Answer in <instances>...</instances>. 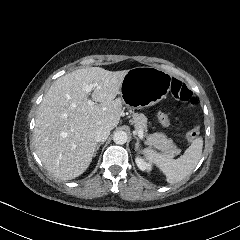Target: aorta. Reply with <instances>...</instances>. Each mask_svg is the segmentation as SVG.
Listing matches in <instances>:
<instances>
[{
  "label": "aorta",
  "instance_id": "1",
  "mask_svg": "<svg viewBox=\"0 0 240 240\" xmlns=\"http://www.w3.org/2000/svg\"><path fill=\"white\" fill-rule=\"evenodd\" d=\"M113 140L116 144H125L128 140V135L125 131H116L113 135Z\"/></svg>",
  "mask_w": 240,
  "mask_h": 240
}]
</instances>
